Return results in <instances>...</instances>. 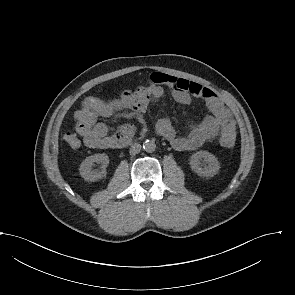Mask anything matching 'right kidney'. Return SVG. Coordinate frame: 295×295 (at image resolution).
I'll return each mask as SVG.
<instances>
[{
    "mask_svg": "<svg viewBox=\"0 0 295 295\" xmlns=\"http://www.w3.org/2000/svg\"><path fill=\"white\" fill-rule=\"evenodd\" d=\"M95 162L101 164V170H93L92 167ZM108 164L109 157L105 153L91 155L86 157V159L81 163L79 168L80 175L86 181H97L98 179H102L106 176V167Z\"/></svg>",
    "mask_w": 295,
    "mask_h": 295,
    "instance_id": "right-kidney-1",
    "label": "right kidney"
}]
</instances>
